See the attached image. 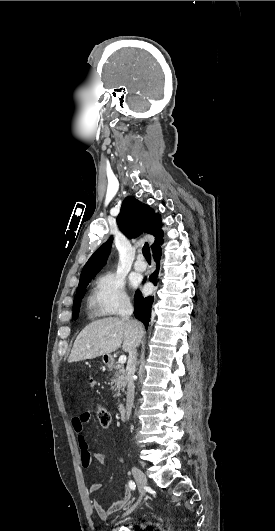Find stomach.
I'll list each match as a JSON object with an SVG mask.
<instances>
[{"mask_svg":"<svg viewBox=\"0 0 275 531\" xmlns=\"http://www.w3.org/2000/svg\"><path fill=\"white\" fill-rule=\"evenodd\" d=\"M102 361L105 365H111V363H113V357L112 355H109V353H106V355H103Z\"/></svg>","mask_w":275,"mask_h":531,"instance_id":"1","label":"stomach"}]
</instances>
